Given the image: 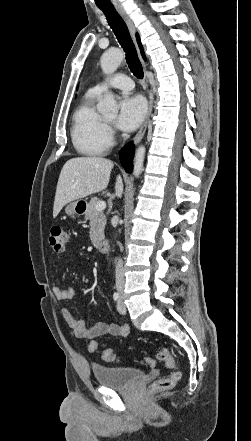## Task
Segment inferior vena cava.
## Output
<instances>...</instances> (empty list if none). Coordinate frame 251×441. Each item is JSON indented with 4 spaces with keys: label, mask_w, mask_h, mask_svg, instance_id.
<instances>
[{
    "label": "inferior vena cava",
    "mask_w": 251,
    "mask_h": 441,
    "mask_svg": "<svg viewBox=\"0 0 251 441\" xmlns=\"http://www.w3.org/2000/svg\"><path fill=\"white\" fill-rule=\"evenodd\" d=\"M115 278H116V289L121 292L124 289V270H123V261L122 259H118L115 270Z\"/></svg>",
    "instance_id": "obj_1"
}]
</instances>
